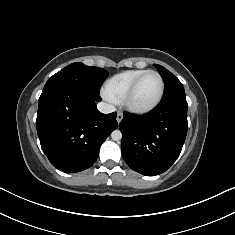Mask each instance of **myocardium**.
Segmentation results:
<instances>
[{
    "label": "myocardium",
    "instance_id": "1",
    "mask_svg": "<svg viewBox=\"0 0 235 235\" xmlns=\"http://www.w3.org/2000/svg\"><path fill=\"white\" fill-rule=\"evenodd\" d=\"M148 74H155L159 78V81H160L159 95L156 98V100L148 106H144V107L135 106L131 103V98L134 95L136 88L138 84L140 83V81ZM164 91H165V84L160 73L155 70H147L133 81V83L131 84V86L128 88L125 95L123 96L121 102H122L123 107L130 113L139 114V115L146 114L154 110L160 104L164 96Z\"/></svg>",
    "mask_w": 235,
    "mask_h": 235
}]
</instances>
